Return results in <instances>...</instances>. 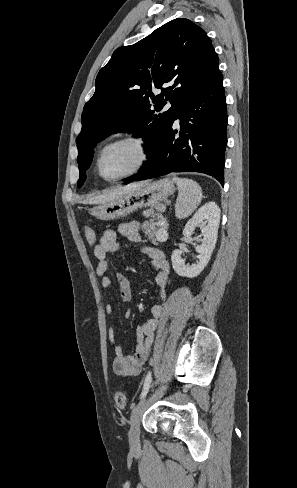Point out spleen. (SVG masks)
Masks as SVG:
<instances>
[{
	"label": "spleen",
	"instance_id": "3e777b00",
	"mask_svg": "<svg viewBox=\"0 0 297 488\" xmlns=\"http://www.w3.org/2000/svg\"><path fill=\"white\" fill-rule=\"evenodd\" d=\"M179 194L176 202V217L184 218L197 208L202 199L200 186L193 180L174 177Z\"/></svg>",
	"mask_w": 297,
	"mask_h": 488
}]
</instances>
